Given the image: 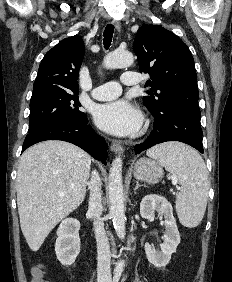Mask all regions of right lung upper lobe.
Here are the masks:
<instances>
[{
  "label": "right lung upper lobe",
  "instance_id": "cb5924a9",
  "mask_svg": "<svg viewBox=\"0 0 232 282\" xmlns=\"http://www.w3.org/2000/svg\"><path fill=\"white\" fill-rule=\"evenodd\" d=\"M83 57L84 43L78 35L63 39L42 59L33 91H78V73Z\"/></svg>",
  "mask_w": 232,
  "mask_h": 282
}]
</instances>
